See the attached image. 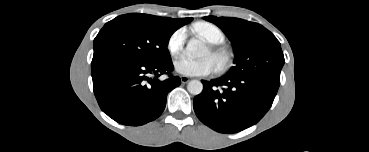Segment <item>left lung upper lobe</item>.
<instances>
[{
    "label": "left lung upper lobe",
    "instance_id": "obj_1",
    "mask_svg": "<svg viewBox=\"0 0 369 152\" xmlns=\"http://www.w3.org/2000/svg\"><path fill=\"white\" fill-rule=\"evenodd\" d=\"M223 30L234 49V66L227 76H264L280 80L285 62L276 37L262 25L239 18L206 16Z\"/></svg>",
    "mask_w": 369,
    "mask_h": 152
}]
</instances>
